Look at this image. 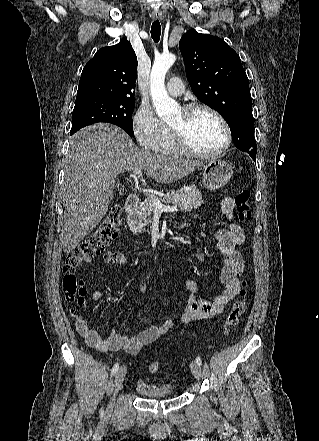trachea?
I'll list each match as a JSON object with an SVG mask.
<instances>
[{"label":"trachea","mask_w":319,"mask_h":441,"mask_svg":"<svg viewBox=\"0 0 319 441\" xmlns=\"http://www.w3.org/2000/svg\"><path fill=\"white\" fill-rule=\"evenodd\" d=\"M161 35V25L159 20H155L151 26V37L155 43H158Z\"/></svg>","instance_id":"obj_1"}]
</instances>
